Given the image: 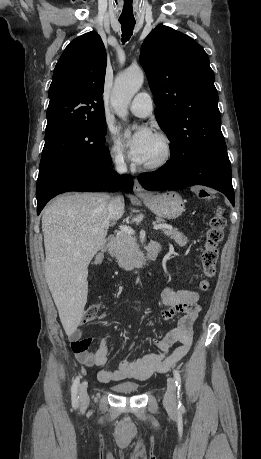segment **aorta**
I'll use <instances>...</instances> for the list:
<instances>
[{
	"label": "aorta",
	"instance_id": "762f6f07",
	"mask_svg": "<svg viewBox=\"0 0 261 459\" xmlns=\"http://www.w3.org/2000/svg\"><path fill=\"white\" fill-rule=\"evenodd\" d=\"M144 82V74L139 68H130L118 75L114 82L111 105L116 114L125 119L127 108Z\"/></svg>",
	"mask_w": 261,
	"mask_h": 459
}]
</instances>
